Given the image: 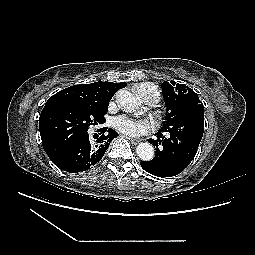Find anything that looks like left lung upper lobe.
I'll list each match as a JSON object with an SVG mask.
<instances>
[{"mask_svg":"<svg viewBox=\"0 0 255 255\" xmlns=\"http://www.w3.org/2000/svg\"><path fill=\"white\" fill-rule=\"evenodd\" d=\"M161 88L167 105L163 127L178 122L188 123L194 119L199 110L204 109L197 93L183 84L165 81L161 84Z\"/></svg>","mask_w":255,"mask_h":255,"instance_id":"obj_1","label":"left lung upper lobe"}]
</instances>
